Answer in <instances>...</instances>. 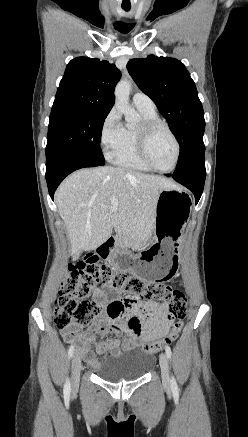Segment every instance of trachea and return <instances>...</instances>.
<instances>
[{
    "label": "trachea",
    "instance_id": "obj_1",
    "mask_svg": "<svg viewBox=\"0 0 248 437\" xmlns=\"http://www.w3.org/2000/svg\"><path fill=\"white\" fill-rule=\"evenodd\" d=\"M126 12H128L129 10H130V8H126V7H124L123 8Z\"/></svg>",
    "mask_w": 248,
    "mask_h": 437
}]
</instances>
